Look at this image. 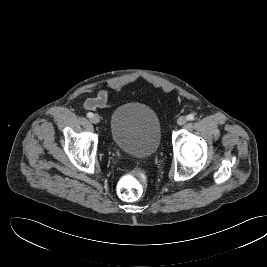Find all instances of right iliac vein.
Segmentation results:
<instances>
[{"label":"right iliac vein","instance_id":"1","mask_svg":"<svg viewBox=\"0 0 267 267\" xmlns=\"http://www.w3.org/2000/svg\"><path fill=\"white\" fill-rule=\"evenodd\" d=\"M91 122L93 124H98L100 122V116L99 115H93V117L91 118Z\"/></svg>","mask_w":267,"mask_h":267}]
</instances>
